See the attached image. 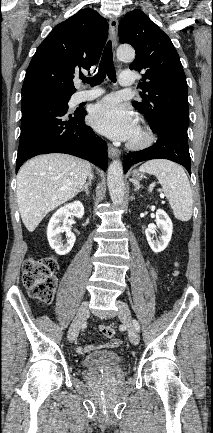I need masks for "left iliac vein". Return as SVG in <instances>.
Returning a JSON list of instances; mask_svg holds the SVG:
<instances>
[{
  "instance_id": "4c4485c4",
  "label": "left iliac vein",
  "mask_w": 213,
  "mask_h": 433,
  "mask_svg": "<svg viewBox=\"0 0 213 433\" xmlns=\"http://www.w3.org/2000/svg\"><path fill=\"white\" fill-rule=\"evenodd\" d=\"M118 317L127 326L129 340L133 345L139 343V334L131 322V312L126 303L117 301Z\"/></svg>"
}]
</instances>
